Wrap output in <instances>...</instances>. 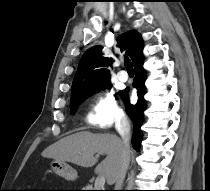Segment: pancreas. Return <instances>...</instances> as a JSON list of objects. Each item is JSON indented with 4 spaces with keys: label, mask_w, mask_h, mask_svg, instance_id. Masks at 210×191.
<instances>
[{
    "label": "pancreas",
    "mask_w": 210,
    "mask_h": 191,
    "mask_svg": "<svg viewBox=\"0 0 210 191\" xmlns=\"http://www.w3.org/2000/svg\"><path fill=\"white\" fill-rule=\"evenodd\" d=\"M86 189H92V187L91 186H88V188H86Z\"/></svg>",
    "instance_id": "pancreas-1"
}]
</instances>
